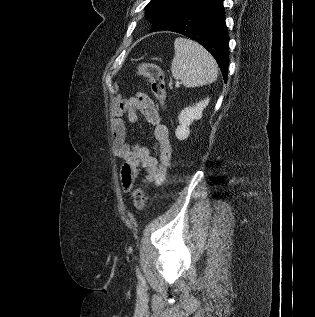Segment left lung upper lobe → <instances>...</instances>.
Wrapping results in <instances>:
<instances>
[{
    "label": "left lung upper lobe",
    "mask_w": 315,
    "mask_h": 317,
    "mask_svg": "<svg viewBox=\"0 0 315 317\" xmlns=\"http://www.w3.org/2000/svg\"><path fill=\"white\" fill-rule=\"evenodd\" d=\"M199 0H151L145 17L152 23V32L167 30Z\"/></svg>",
    "instance_id": "5c2ea615"
}]
</instances>
